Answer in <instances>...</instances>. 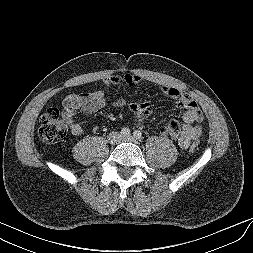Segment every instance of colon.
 I'll return each instance as SVG.
<instances>
[{"mask_svg":"<svg viewBox=\"0 0 253 253\" xmlns=\"http://www.w3.org/2000/svg\"><path fill=\"white\" fill-rule=\"evenodd\" d=\"M69 129V122L61 114L57 107L48 108L40 118L38 137L44 143H51L65 136ZM198 142L192 143L189 148L190 153L198 151Z\"/></svg>","mask_w":253,"mask_h":253,"instance_id":"5ec220e1","label":"colon"}]
</instances>
